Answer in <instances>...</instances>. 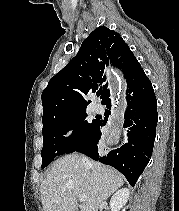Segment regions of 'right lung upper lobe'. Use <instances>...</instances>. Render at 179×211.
Here are the masks:
<instances>
[{"label": "right lung upper lobe", "mask_w": 179, "mask_h": 211, "mask_svg": "<svg viewBox=\"0 0 179 211\" xmlns=\"http://www.w3.org/2000/svg\"><path fill=\"white\" fill-rule=\"evenodd\" d=\"M109 66L120 69L129 83L143 70L120 34L101 26L85 39L78 54L42 93L43 126L55 117L86 110L85 96L100 87L102 104L109 100Z\"/></svg>", "instance_id": "1"}]
</instances>
